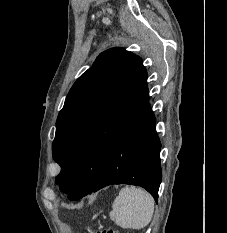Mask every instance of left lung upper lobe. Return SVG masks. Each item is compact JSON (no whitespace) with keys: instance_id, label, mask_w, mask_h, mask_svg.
I'll return each instance as SVG.
<instances>
[{"instance_id":"1","label":"left lung upper lobe","mask_w":227,"mask_h":233,"mask_svg":"<svg viewBox=\"0 0 227 233\" xmlns=\"http://www.w3.org/2000/svg\"><path fill=\"white\" fill-rule=\"evenodd\" d=\"M149 107L142 59L119 47L102 52L74 83L56 121L60 190L73 200L91 192L115 145Z\"/></svg>"}]
</instances>
